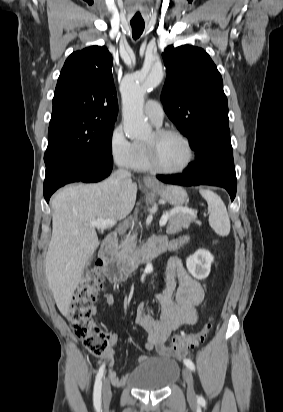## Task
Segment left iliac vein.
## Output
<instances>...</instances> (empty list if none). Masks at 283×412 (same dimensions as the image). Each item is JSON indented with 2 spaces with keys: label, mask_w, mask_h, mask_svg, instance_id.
Listing matches in <instances>:
<instances>
[{
  "label": "left iliac vein",
  "mask_w": 283,
  "mask_h": 412,
  "mask_svg": "<svg viewBox=\"0 0 283 412\" xmlns=\"http://www.w3.org/2000/svg\"><path fill=\"white\" fill-rule=\"evenodd\" d=\"M183 376L187 383V398L190 402L196 400V393L193 386V375L189 368L183 369Z\"/></svg>",
  "instance_id": "left-iliac-vein-1"
}]
</instances>
